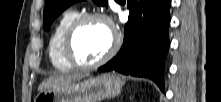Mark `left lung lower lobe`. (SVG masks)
Returning <instances> with one entry per match:
<instances>
[{
	"label": "left lung lower lobe",
	"mask_w": 221,
	"mask_h": 102,
	"mask_svg": "<svg viewBox=\"0 0 221 102\" xmlns=\"http://www.w3.org/2000/svg\"><path fill=\"white\" fill-rule=\"evenodd\" d=\"M171 0H128L131 21L125 25L123 46L99 68L146 77L164 91V62L169 49L168 29Z\"/></svg>",
	"instance_id": "1"
}]
</instances>
